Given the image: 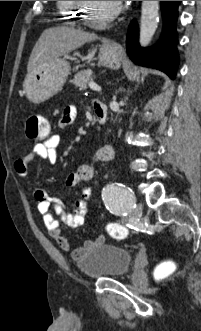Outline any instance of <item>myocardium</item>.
I'll use <instances>...</instances> for the list:
<instances>
[{
	"label": "myocardium",
	"mask_w": 201,
	"mask_h": 331,
	"mask_svg": "<svg viewBox=\"0 0 201 331\" xmlns=\"http://www.w3.org/2000/svg\"><path fill=\"white\" fill-rule=\"evenodd\" d=\"M78 3H80L81 5H83V10H82V19L83 22L86 25L92 26V27H103L106 26L109 22H111L113 19H115L118 14L121 11V7L120 5H118L114 11H112L110 14H108L105 18L99 20V21H95L89 18L88 16V8L87 6H89L90 2L89 1H77Z\"/></svg>",
	"instance_id": "myocardium-1"
}]
</instances>
